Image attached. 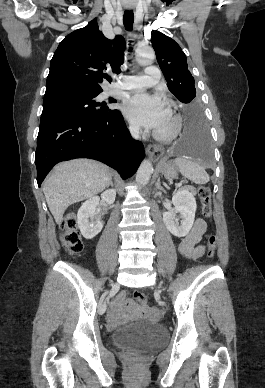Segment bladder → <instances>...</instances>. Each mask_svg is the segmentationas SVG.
Segmentation results:
<instances>
[{
    "instance_id": "obj_1",
    "label": "bladder",
    "mask_w": 265,
    "mask_h": 388,
    "mask_svg": "<svg viewBox=\"0 0 265 388\" xmlns=\"http://www.w3.org/2000/svg\"><path fill=\"white\" fill-rule=\"evenodd\" d=\"M163 338V332L157 324L146 321L134 322L126 327H120L111 335L112 345L133 346L139 350L153 347L158 339Z\"/></svg>"
}]
</instances>
